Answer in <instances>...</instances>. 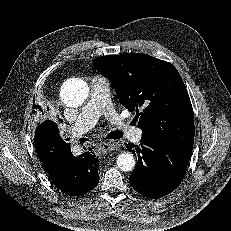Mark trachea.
Instances as JSON below:
<instances>
[{
	"mask_svg": "<svg viewBox=\"0 0 231 231\" xmlns=\"http://www.w3.org/2000/svg\"><path fill=\"white\" fill-rule=\"evenodd\" d=\"M123 134L120 131H111L108 135H107V139H120L122 138Z\"/></svg>",
	"mask_w": 231,
	"mask_h": 231,
	"instance_id": "trachea-1",
	"label": "trachea"
}]
</instances>
